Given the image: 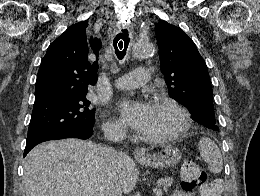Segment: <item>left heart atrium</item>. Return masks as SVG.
<instances>
[{"instance_id":"1","label":"left heart atrium","mask_w":260,"mask_h":196,"mask_svg":"<svg viewBox=\"0 0 260 196\" xmlns=\"http://www.w3.org/2000/svg\"><path fill=\"white\" fill-rule=\"evenodd\" d=\"M119 112L122 120L131 128L138 132H145L151 112V105L149 103L123 100L119 105ZM119 191L120 190H91L90 192Z\"/></svg>"}]
</instances>
